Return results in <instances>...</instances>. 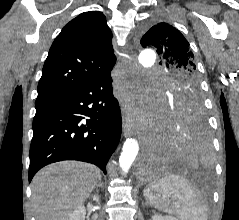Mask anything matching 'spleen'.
<instances>
[{"label": "spleen", "instance_id": "1", "mask_svg": "<svg viewBox=\"0 0 239 220\" xmlns=\"http://www.w3.org/2000/svg\"><path fill=\"white\" fill-rule=\"evenodd\" d=\"M144 195L150 205L180 220L208 219L207 206L181 176L170 174L152 181L144 189Z\"/></svg>", "mask_w": 239, "mask_h": 220}]
</instances>
